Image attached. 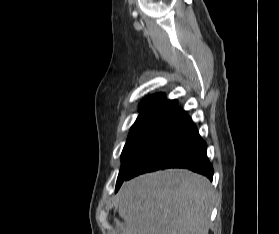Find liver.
Instances as JSON below:
<instances>
[{
	"instance_id": "liver-1",
	"label": "liver",
	"mask_w": 279,
	"mask_h": 234,
	"mask_svg": "<svg viewBox=\"0 0 279 234\" xmlns=\"http://www.w3.org/2000/svg\"><path fill=\"white\" fill-rule=\"evenodd\" d=\"M212 203L209 180L189 170L138 176L120 190L121 234H208Z\"/></svg>"
}]
</instances>
